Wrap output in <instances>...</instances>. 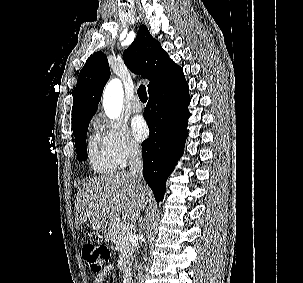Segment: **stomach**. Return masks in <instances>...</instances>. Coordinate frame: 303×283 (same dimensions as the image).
I'll list each match as a JSON object with an SVG mask.
<instances>
[{"instance_id": "1", "label": "stomach", "mask_w": 303, "mask_h": 283, "mask_svg": "<svg viewBox=\"0 0 303 283\" xmlns=\"http://www.w3.org/2000/svg\"><path fill=\"white\" fill-rule=\"evenodd\" d=\"M91 228L93 230L94 233H105L108 232L111 228V226L109 225L107 220H100L97 222H92L91 223Z\"/></svg>"}]
</instances>
